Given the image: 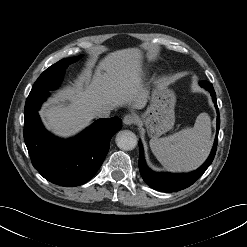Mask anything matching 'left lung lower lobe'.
Segmentation results:
<instances>
[{
  "label": "left lung lower lobe",
  "mask_w": 247,
  "mask_h": 247,
  "mask_svg": "<svg viewBox=\"0 0 247 247\" xmlns=\"http://www.w3.org/2000/svg\"><path fill=\"white\" fill-rule=\"evenodd\" d=\"M199 84L205 88L207 91L210 92L212 96V100L217 110V132L214 141V145L212 151L205 161V163L198 168L197 170L188 173V174H171V173H155L150 170L147 165L145 164L144 155H143V147L142 143L139 142V169L140 174L143 180L153 189L162 191V192H175L182 189H185L192 185L202 174L206 171L209 165L212 163L216 150H217V143H218V132L220 127V118H219V111L217 106L216 100V93L212 84L207 81H201Z\"/></svg>",
  "instance_id": "1"
}]
</instances>
